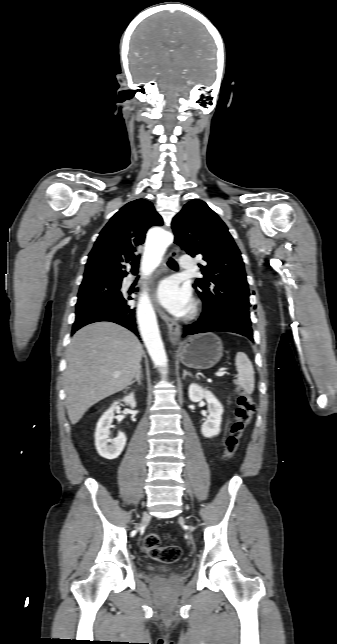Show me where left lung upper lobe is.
<instances>
[{"label": "left lung upper lobe", "instance_id": "obj_1", "mask_svg": "<svg viewBox=\"0 0 337 644\" xmlns=\"http://www.w3.org/2000/svg\"><path fill=\"white\" fill-rule=\"evenodd\" d=\"M175 243L192 257L203 256L202 279L193 287L203 311L232 317L251 327L249 288L241 253L219 216L202 200H191L172 221Z\"/></svg>", "mask_w": 337, "mask_h": 644}]
</instances>
